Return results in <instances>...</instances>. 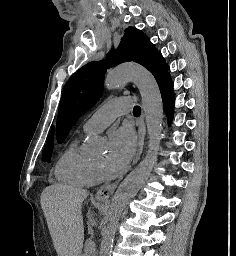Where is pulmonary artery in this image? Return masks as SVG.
Returning a JSON list of instances; mask_svg holds the SVG:
<instances>
[{
	"instance_id": "pulmonary-artery-1",
	"label": "pulmonary artery",
	"mask_w": 236,
	"mask_h": 256,
	"mask_svg": "<svg viewBox=\"0 0 236 256\" xmlns=\"http://www.w3.org/2000/svg\"><path fill=\"white\" fill-rule=\"evenodd\" d=\"M119 101H106L82 126L84 133H98L108 127L117 116L128 115L130 97L119 96Z\"/></svg>"
}]
</instances>
